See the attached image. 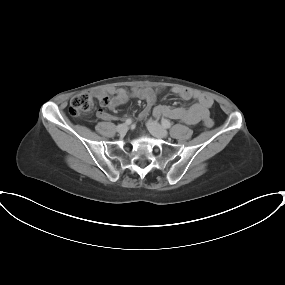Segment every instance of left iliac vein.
Segmentation results:
<instances>
[{
	"mask_svg": "<svg viewBox=\"0 0 285 285\" xmlns=\"http://www.w3.org/2000/svg\"><path fill=\"white\" fill-rule=\"evenodd\" d=\"M147 128L149 132L158 138H166L168 136V132L156 121L148 120L147 121Z\"/></svg>",
	"mask_w": 285,
	"mask_h": 285,
	"instance_id": "1",
	"label": "left iliac vein"
}]
</instances>
